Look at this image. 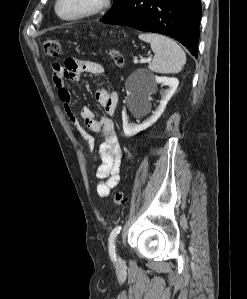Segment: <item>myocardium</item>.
<instances>
[{"mask_svg": "<svg viewBox=\"0 0 247 299\" xmlns=\"http://www.w3.org/2000/svg\"><path fill=\"white\" fill-rule=\"evenodd\" d=\"M62 1L63 0H56L54 5V11L60 19L69 22L92 17L103 11L110 3V0H93L86 9L76 14L65 16L60 12V4L62 3Z\"/></svg>", "mask_w": 247, "mask_h": 299, "instance_id": "myocardium-1", "label": "myocardium"}]
</instances>
